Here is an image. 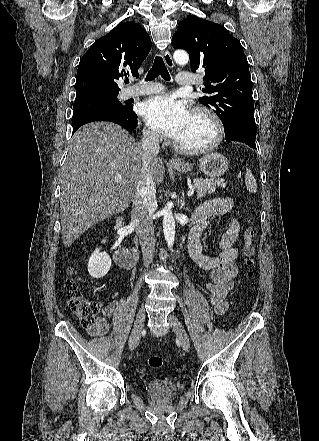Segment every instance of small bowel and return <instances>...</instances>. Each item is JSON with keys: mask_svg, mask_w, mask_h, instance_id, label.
<instances>
[{"mask_svg": "<svg viewBox=\"0 0 319 441\" xmlns=\"http://www.w3.org/2000/svg\"><path fill=\"white\" fill-rule=\"evenodd\" d=\"M233 207V200L229 197L211 199L200 205L191 217L192 228L188 238V251L192 260L203 270L209 271L207 293L216 313H224L227 308L226 296L234 286V279L238 274L236 259L240 225L236 219H231L228 229L219 242L218 255L211 256L203 252L201 235L203 231L218 216L228 213ZM115 303L107 302L103 307L104 316L98 317L87 332L92 337H104L109 333V319L113 315Z\"/></svg>", "mask_w": 319, "mask_h": 441, "instance_id": "obj_1", "label": "small bowel"}]
</instances>
